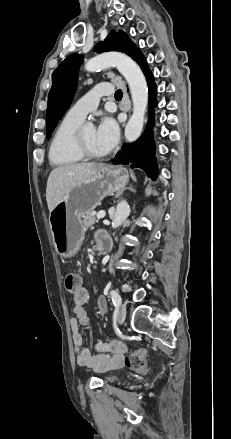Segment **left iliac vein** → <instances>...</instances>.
Instances as JSON below:
<instances>
[{"instance_id":"4c4485c4","label":"left iliac vein","mask_w":231,"mask_h":439,"mask_svg":"<svg viewBox=\"0 0 231 439\" xmlns=\"http://www.w3.org/2000/svg\"><path fill=\"white\" fill-rule=\"evenodd\" d=\"M126 318V306L125 304H120L118 308V320L120 323H123Z\"/></svg>"}]
</instances>
